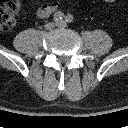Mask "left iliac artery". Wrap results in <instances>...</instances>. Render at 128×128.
Returning <instances> with one entry per match:
<instances>
[{
    "instance_id": "44dca946",
    "label": "left iliac artery",
    "mask_w": 128,
    "mask_h": 128,
    "mask_svg": "<svg viewBox=\"0 0 128 128\" xmlns=\"http://www.w3.org/2000/svg\"><path fill=\"white\" fill-rule=\"evenodd\" d=\"M65 20H66V22H68V23H72L73 20H74V17H73L71 14H68V15L65 17Z\"/></svg>"
}]
</instances>
